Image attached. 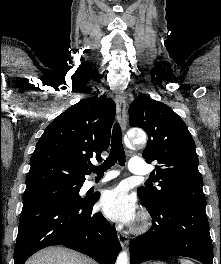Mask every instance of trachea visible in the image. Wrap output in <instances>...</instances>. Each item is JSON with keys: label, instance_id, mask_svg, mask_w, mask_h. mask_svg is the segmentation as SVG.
<instances>
[{"label": "trachea", "instance_id": "trachea-1", "mask_svg": "<svg viewBox=\"0 0 221 264\" xmlns=\"http://www.w3.org/2000/svg\"><path fill=\"white\" fill-rule=\"evenodd\" d=\"M119 162L121 166L125 164V153L122 144V133L118 123L113 127L111 138V151L103 164L100 166H91L89 169L97 175H103L105 171L110 169L116 162Z\"/></svg>", "mask_w": 221, "mask_h": 264}]
</instances>
